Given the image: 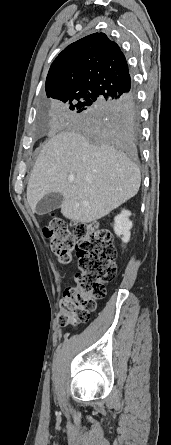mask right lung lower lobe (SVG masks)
<instances>
[{"mask_svg":"<svg viewBox=\"0 0 171 445\" xmlns=\"http://www.w3.org/2000/svg\"><path fill=\"white\" fill-rule=\"evenodd\" d=\"M104 100L94 117L97 139L136 157L138 126L134 93L121 99L105 97Z\"/></svg>","mask_w":171,"mask_h":445,"instance_id":"right-lung-lower-lobe-1","label":"right lung lower lobe"}]
</instances>
